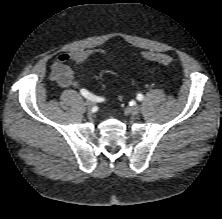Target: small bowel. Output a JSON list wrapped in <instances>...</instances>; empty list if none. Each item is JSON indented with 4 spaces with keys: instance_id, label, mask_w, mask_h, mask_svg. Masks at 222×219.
<instances>
[{
    "instance_id": "c3829d8e",
    "label": "small bowel",
    "mask_w": 222,
    "mask_h": 219,
    "mask_svg": "<svg viewBox=\"0 0 222 219\" xmlns=\"http://www.w3.org/2000/svg\"><path fill=\"white\" fill-rule=\"evenodd\" d=\"M97 54L106 55L104 51L99 49L79 50L58 55L51 65L50 78L55 80L61 87L78 86L77 68ZM68 62H73L74 68L70 67Z\"/></svg>"
}]
</instances>
